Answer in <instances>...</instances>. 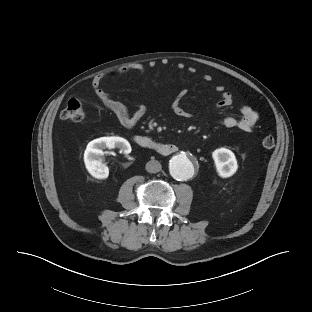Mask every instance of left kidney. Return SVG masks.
<instances>
[{"label": "left kidney", "instance_id": "obj_1", "mask_svg": "<svg viewBox=\"0 0 312 312\" xmlns=\"http://www.w3.org/2000/svg\"><path fill=\"white\" fill-rule=\"evenodd\" d=\"M212 157L217 173L222 178L232 176L238 168L234 153L226 148H219L213 151Z\"/></svg>", "mask_w": 312, "mask_h": 312}]
</instances>
